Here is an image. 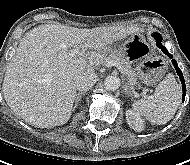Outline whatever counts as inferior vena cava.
Returning <instances> with one entry per match:
<instances>
[{"label": "inferior vena cava", "mask_w": 190, "mask_h": 165, "mask_svg": "<svg viewBox=\"0 0 190 165\" xmlns=\"http://www.w3.org/2000/svg\"><path fill=\"white\" fill-rule=\"evenodd\" d=\"M97 81V75L93 71H86L75 80L76 89L81 92H86L94 86Z\"/></svg>", "instance_id": "inferior-vena-cava-1"}]
</instances>
